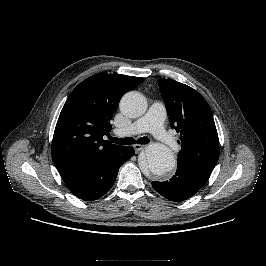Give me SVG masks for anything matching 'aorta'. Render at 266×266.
<instances>
[{"mask_svg": "<svg viewBox=\"0 0 266 266\" xmlns=\"http://www.w3.org/2000/svg\"><path fill=\"white\" fill-rule=\"evenodd\" d=\"M120 111L127 117L136 118L146 111V100L138 92L126 93L120 101ZM141 169L162 176L174 169L176 160L173 152L165 145L153 143L139 157Z\"/></svg>", "mask_w": 266, "mask_h": 266, "instance_id": "1", "label": "aorta"}]
</instances>
